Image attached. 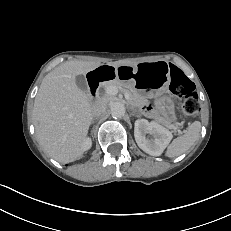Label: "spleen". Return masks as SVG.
I'll return each instance as SVG.
<instances>
[{"mask_svg":"<svg viewBox=\"0 0 231 231\" xmlns=\"http://www.w3.org/2000/svg\"><path fill=\"white\" fill-rule=\"evenodd\" d=\"M201 130L199 121L193 122L183 135L175 138L166 150V156L173 158L186 152L198 139Z\"/></svg>","mask_w":231,"mask_h":231,"instance_id":"obj_1","label":"spleen"}]
</instances>
